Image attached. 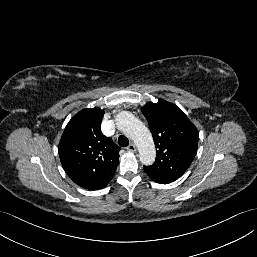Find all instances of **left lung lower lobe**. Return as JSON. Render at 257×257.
<instances>
[{
	"mask_svg": "<svg viewBox=\"0 0 257 257\" xmlns=\"http://www.w3.org/2000/svg\"><path fill=\"white\" fill-rule=\"evenodd\" d=\"M152 180H154L155 182L157 183H160V184H168L169 182H165V181H162V180H158V179H155V178H152L150 177Z\"/></svg>",
	"mask_w": 257,
	"mask_h": 257,
	"instance_id": "1",
	"label": "left lung lower lobe"
}]
</instances>
